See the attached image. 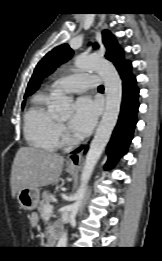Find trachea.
I'll list each match as a JSON object with an SVG mask.
<instances>
[{
	"mask_svg": "<svg viewBox=\"0 0 162 261\" xmlns=\"http://www.w3.org/2000/svg\"><path fill=\"white\" fill-rule=\"evenodd\" d=\"M98 89H99V90H102V89H104V88H103L102 85H100V86L98 87Z\"/></svg>",
	"mask_w": 162,
	"mask_h": 261,
	"instance_id": "1",
	"label": "trachea"
}]
</instances>
